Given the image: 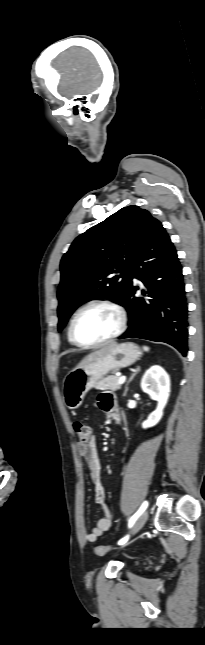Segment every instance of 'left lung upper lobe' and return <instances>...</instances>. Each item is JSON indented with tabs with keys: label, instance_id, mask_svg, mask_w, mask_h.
I'll return each instance as SVG.
<instances>
[{
	"label": "left lung upper lobe",
	"instance_id": "5c2ea615",
	"mask_svg": "<svg viewBox=\"0 0 205 645\" xmlns=\"http://www.w3.org/2000/svg\"><path fill=\"white\" fill-rule=\"evenodd\" d=\"M153 219L147 210L127 206L74 240L60 264L59 331L75 309L89 300L110 297L122 305L135 251Z\"/></svg>",
	"mask_w": 205,
	"mask_h": 645
}]
</instances>
